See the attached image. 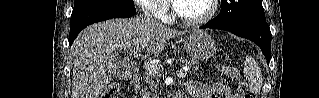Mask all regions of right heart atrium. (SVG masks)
<instances>
[{"label": "right heart atrium", "instance_id": "obj_1", "mask_svg": "<svg viewBox=\"0 0 319 98\" xmlns=\"http://www.w3.org/2000/svg\"><path fill=\"white\" fill-rule=\"evenodd\" d=\"M136 3L152 18H161L168 13V7L164 0H138Z\"/></svg>", "mask_w": 319, "mask_h": 98}]
</instances>
